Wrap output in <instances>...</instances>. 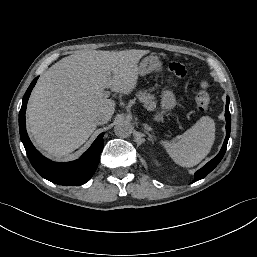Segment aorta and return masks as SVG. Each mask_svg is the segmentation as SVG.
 <instances>
[{
	"label": "aorta",
	"mask_w": 257,
	"mask_h": 257,
	"mask_svg": "<svg viewBox=\"0 0 257 257\" xmlns=\"http://www.w3.org/2000/svg\"><path fill=\"white\" fill-rule=\"evenodd\" d=\"M132 129V125L129 121L121 120L115 125L114 132L120 138H127L131 135Z\"/></svg>",
	"instance_id": "aorta-1"
}]
</instances>
